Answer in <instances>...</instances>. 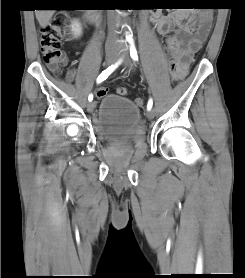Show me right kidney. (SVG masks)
I'll list each match as a JSON object with an SVG mask.
<instances>
[{"label":"right kidney","instance_id":"ca27d5eb","mask_svg":"<svg viewBox=\"0 0 245 278\" xmlns=\"http://www.w3.org/2000/svg\"><path fill=\"white\" fill-rule=\"evenodd\" d=\"M72 31L74 32L75 35H80L82 30H81V24L79 23L78 20H74L72 22Z\"/></svg>","mask_w":245,"mask_h":278}]
</instances>
